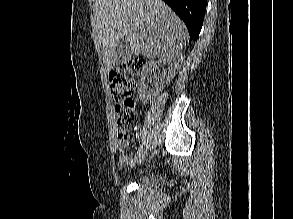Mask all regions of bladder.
<instances>
[{"label": "bladder", "instance_id": "obj_1", "mask_svg": "<svg viewBox=\"0 0 293 219\" xmlns=\"http://www.w3.org/2000/svg\"><path fill=\"white\" fill-rule=\"evenodd\" d=\"M137 183L147 188H157L161 184V178L152 172L141 174L137 177Z\"/></svg>", "mask_w": 293, "mask_h": 219}]
</instances>
